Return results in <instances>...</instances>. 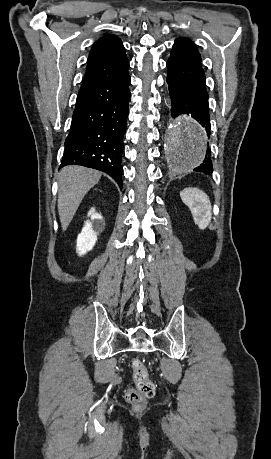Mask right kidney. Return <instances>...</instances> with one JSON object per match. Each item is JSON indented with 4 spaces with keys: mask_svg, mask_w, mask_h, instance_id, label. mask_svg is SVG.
<instances>
[{
    "mask_svg": "<svg viewBox=\"0 0 271 459\" xmlns=\"http://www.w3.org/2000/svg\"><path fill=\"white\" fill-rule=\"evenodd\" d=\"M91 220L85 222L84 228L77 237V253L84 255L86 251H90L94 247L98 233L105 229V222L101 214H96L94 208L88 212Z\"/></svg>",
    "mask_w": 271,
    "mask_h": 459,
    "instance_id": "right-kidney-1",
    "label": "right kidney"
}]
</instances>
